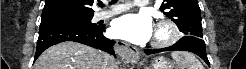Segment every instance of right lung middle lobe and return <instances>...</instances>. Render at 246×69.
Returning <instances> with one entry per match:
<instances>
[{"instance_id": "1", "label": "right lung middle lobe", "mask_w": 246, "mask_h": 69, "mask_svg": "<svg viewBox=\"0 0 246 69\" xmlns=\"http://www.w3.org/2000/svg\"><path fill=\"white\" fill-rule=\"evenodd\" d=\"M93 14H59L42 17L41 24L63 23L93 26L91 23Z\"/></svg>"}]
</instances>
